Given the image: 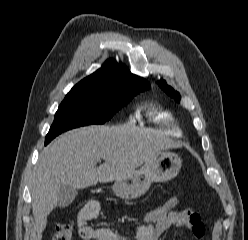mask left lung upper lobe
Segmentation results:
<instances>
[{"label": "left lung upper lobe", "instance_id": "1", "mask_svg": "<svg viewBox=\"0 0 248 240\" xmlns=\"http://www.w3.org/2000/svg\"><path fill=\"white\" fill-rule=\"evenodd\" d=\"M159 86L171 97H173L177 102L180 101V94L176 91H174L173 88H171L170 86H168L166 84V82L164 80H160L159 82Z\"/></svg>", "mask_w": 248, "mask_h": 240}]
</instances>
